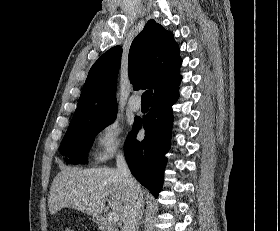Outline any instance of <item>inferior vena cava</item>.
I'll use <instances>...</instances> for the list:
<instances>
[{
	"label": "inferior vena cava",
	"instance_id": "inferior-vena-cava-1",
	"mask_svg": "<svg viewBox=\"0 0 280 231\" xmlns=\"http://www.w3.org/2000/svg\"><path fill=\"white\" fill-rule=\"evenodd\" d=\"M117 171L123 177L124 183H127L131 191V205L123 225L122 231H138V221L142 219L144 205L143 195L139 183L132 177L130 169L125 161L124 153L119 151L116 155Z\"/></svg>",
	"mask_w": 280,
	"mask_h": 231
}]
</instances>
